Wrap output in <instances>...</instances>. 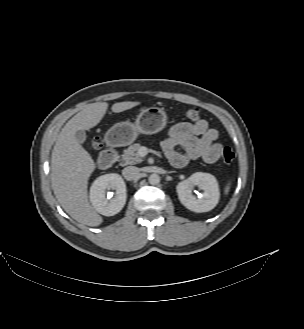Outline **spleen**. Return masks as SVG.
I'll use <instances>...</instances> for the list:
<instances>
[{
  "mask_svg": "<svg viewBox=\"0 0 304 329\" xmlns=\"http://www.w3.org/2000/svg\"><path fill=\"white\" fill-rule=\"evenodd\" d=\"M229 184L226 186V188H225V192L227 193L228 191H229Z\"/></svg>",
  "mask_w": 304,
  "mask_h": 329,
  "instance_id": "spleen-1",
  "label": "spleen"
}]
</instances>
